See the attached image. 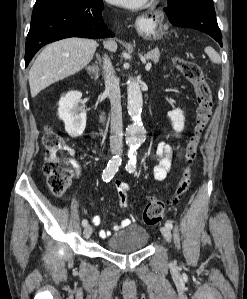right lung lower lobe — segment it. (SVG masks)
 Instances as JSON below:
<instances>
[{
    "label": "right lung lower lobe",
    "instance_id": "right-lung-lower-lobe-1",
    "mask_svg": "<svg viewBox=\"0 0 247 299\" xmlns=\"http://www.w3.org/2000/svg\"><path fill=\"white\" fill-rule=\"evenodd\" d=\"M102 0H76L52 7L32 17L26 38L25 66L45 44L68 37L108 38L114 34L104 24Z\"/></svg>",
    "mask_w": 247,
    "mask_h": 299
}]
</instances>
